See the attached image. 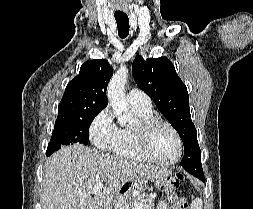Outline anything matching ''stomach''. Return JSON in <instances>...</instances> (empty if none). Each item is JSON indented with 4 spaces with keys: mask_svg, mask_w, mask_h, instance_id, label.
I'll list each match as a JSON object with an SVG mask.
<instances>
[{
    "mask_svg": "<svg viewBox=\"0 0 253 209\" xmlns=\"http://www.w3.org/2000/svg\"><path fill=\"white\" fill-rule=\"evenodd\" d=\"M113 209H133L131 196L133 190H145V186H156V192H166L168 177L163 176L156 181H122Z\"/></svg>",
    "mask_w": 253,
    "mask_h": 209,
    "instance_id": "obj_1",
    "label": "stomach"
}]
</instances>
